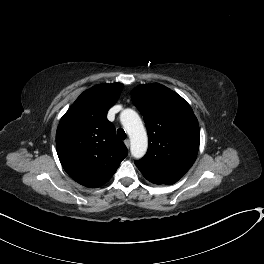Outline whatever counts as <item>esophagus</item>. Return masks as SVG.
Wrapping results in <instances>:
<instances>
[{
    "instance_id": "1",
    "label": "esophagus",
    "mask_w": 264,
    "mask_h": 264,
    "mask_svg": "<svg viewBox=\"0 0 264 264\" xmlns=\"http://www.w3.org/2000/svg\"><path fill=\"white\" fill-rule=\"evenodd\" d=\"M124 143H125L126 147L129 148V146H130V141H129V139H126V140L124 141Z\"/></svg>"
}]
</instances>
